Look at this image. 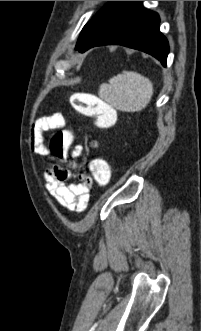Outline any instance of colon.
<instances>
[{"mask_svg":"<svg viewBox=\"0 0 201 331\" xmlns=\"http://www.w3.org/2000/svg\"><path fill=\"white\" fill-rule=\"evenodd\" d=\"M72 105L80 114L90 118L100 130L108 129L116 123V110L96 95L77 93L72 97ZM71 140L72 136L64 130L57 131L50 142L51 153L57 158H63L64 146ZM88 168L96 185L105 187L109 184L111 170L105 160L94 158L88 162Z\"/></svg>","mask_w":201,"mask_h":331,"instance_id":"5ec220e1","label":"colon"}]
</instances>
